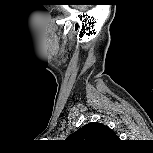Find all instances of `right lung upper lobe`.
<instances>
[{"label": "right lung upper lobe", "mask_w": 153, "mask_h": 153, "mask_svg": "<svg viewBox=\"0 0 153 153\" xmlns=\"http://www.w3.org/2000/svg\"><path fill=\"white\" fill-rule=\"evenodd\" d=\"M67 139L78 145L93 147L117 140L118 137L109 127L101 123L91 122L79 128Z\"/></svg>", "instance_id": "cb5924a9"}]
</instances>
